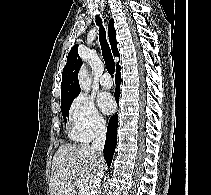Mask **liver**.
Listing matches in <instances>:
<instances>
[{"label": "liver", "mask_w": 211, "mask_h": 195, "mask_svg": "<svg viewBox=\"0 0 211 195\" xmlns=\"http://www.w3.org/2000/svg\"><path fill=\"white\" fill-rule=\"evenodd\" d=\"M87 144H62L52 160L50 195H76L80 181L89 195L93 181L99 171L98 163L105 168L104 160Z\"/></svg>", "instance_id": "6515ba94"}]
</instances>
